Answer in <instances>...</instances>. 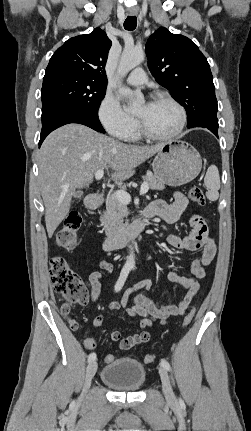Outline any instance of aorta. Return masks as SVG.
Segmentation results:
<instances>
[{
	"label": "aorta",
	"mask_w": 251,
	"mask_h": 431,
	"mask_svg": "<svg viewBox=\"0 0 251 431\" xmlns=\"http://www.w3.org/2000/svg\"><path fill=\"white\" fill-rule=\"evenodd\" d=\"M144 60V52L142 49L133 47H126L121 55L120 62L118 65L117 73L121 76H126L129 71L138 66ZM118 92L125 97H128L132 100V106L135 107L138 105V101L133 99L134 93L131 89L125 86H120L118 88ZM130 252L127 257L126 266L133 269L135 267V243L130 245Z\"/></svg>",
	"instance_id": "aorta-1"
}]
</instances>
